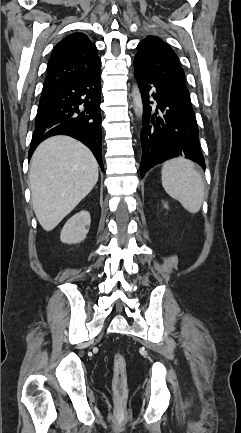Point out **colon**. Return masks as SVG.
<instances>
[{"label":"colon","mask_w":241,"mask_h":433,"mask_svg":"<svg viewBox=\"0 0 241 433\" xmlns=\"http://www.w3.org/2000/svg\"><path fill=\"white\" fill-rule=\"evenodd\" d=\"M113 390L116 398L121 404L127 395V363L121 353L113 357Z\"/></svg>","instance_id":"5ec220e1"}]
</instances>
